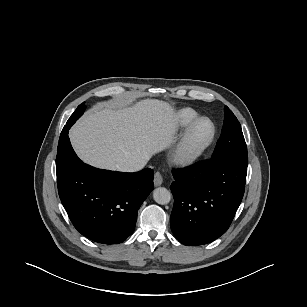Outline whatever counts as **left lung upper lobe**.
I'll return each instance as SVG.
<instances>
[{"mask_svg":"<svg viewBox=\"0 0 307 307\" xmlns=\"http://www.w3.org/2000/svg\"><path fill=\"white\" fill-rule=\"evenodd\" d=\"M224 112L225 119L221 136L217 142L212 158H229L247 165V146L241 125L227 106H225Z\"/></svg>","mask_w":307,"mask_h":307,"instance_id":"1","label":"left lung upper lobe"}]
</instances>
